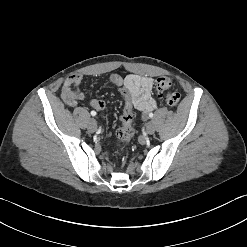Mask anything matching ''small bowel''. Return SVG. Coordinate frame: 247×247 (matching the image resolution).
<instances>
[{
  "label": "small bowel",
  "instance_id": "obj_1",
  "mask_svg": "<svg viewBox=\"0 0 247 247\" xmlns=\"http://www.w3.org/2000/svg\"><path fill=\"white\" fill-rule=\"evenodd\" d=\"M81 81V75L72 74L68 76L63 83L61 96L69 107H75L78 101L88 99V97L79 89ZM123 82H126L130 86L129 92L132 94L133 109L138 110L142 115H146L148 112L157 108V102L152 95V78L129 74L123 78ZM90 105L100 112L105 109V102L100 99H91Z\"/></svg>",
  "mask_w": 247,
  "mask_h": 247
}]
</instances>
